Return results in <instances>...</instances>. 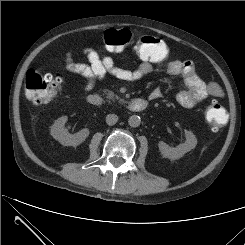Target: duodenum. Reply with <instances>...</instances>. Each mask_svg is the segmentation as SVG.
Wrapping results in <instances>:
<instances>
[{"mask_svg":"<svg viewBox=\"0 0 245 245\" xmlns=\"http://www.w3.org/2000/svg\"><path fill=\"white\" fill-rule=\"evenodd\" d=\"M86 101L89 105L98 107L102 104V97L99 94L92 93L87 95ZM148 106V101L145 99H134L130 101L127 108L131 112H141L144 111Z\"/></svg>","mask_w":245,"mask_h":245,"instance_id":"410a0bca","label":"duodenum"}]
</instances>
